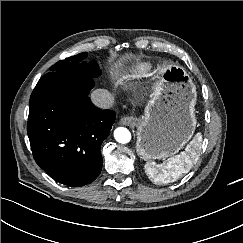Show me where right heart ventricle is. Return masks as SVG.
Here are the masks:
<instances>
[{
  "instance_id": "right-heart-ventricle-1",
  "label": "right heart ventricle",
  "mask_w": 243,
  "mask_h": 243,
  "mask_svg": "<svg viewBox=\"0 0 243 243\" xmlns=\"http://www.w3.org/2000/svg\"><path fill=\"white\" fill-rule=\"evenodd\" d=\"M146 70H147V66H146V65H142L141 67L135 69V70L132 72L131 76H132V77L138 76L139 74L145 72Z\"/></svg>"
}]
</instances>
